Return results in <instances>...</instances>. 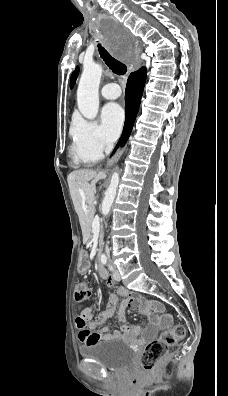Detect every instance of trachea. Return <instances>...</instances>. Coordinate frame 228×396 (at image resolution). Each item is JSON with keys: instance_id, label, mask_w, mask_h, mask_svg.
Listing matches in <instances>:
<instances>
[{"instance_id": "obj_1", "label": "trachea", "mask_w": 228, "mask_h": 396, "mask_svg": "<svg viewBox=\"0 0 228 396\" xmlns=\"http://www.w3.org/2000/svg\"><path fill=\"white\" fill-rule=\"evenodd\" d=\"M98 50L101 58L107 64V66L118 76H124L127 72V67L122 62L112 57L104 47L98 44Z\"/></svg>"}]
</instances>
